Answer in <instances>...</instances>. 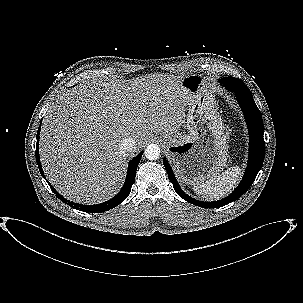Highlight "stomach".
Masks as SVG:
<instances>
[{"label": "stomach", "mask_w": 303, "mask_h": 303, "mask_svg": "<svg viewBox=\"0 0 303 303\" xmlns=\"http://www.w3.org/2000/svg\"><path fill=\"white\" fill-rule=\"evenodd\" d=\"M206 82L199 74L182 78L181 86L189 94L185 106L188 134H163L175 172L188 185H197L216 176L228 160L227 134Z\"/></svg>", "instance_id": "0dacf381"}]
</instances>
